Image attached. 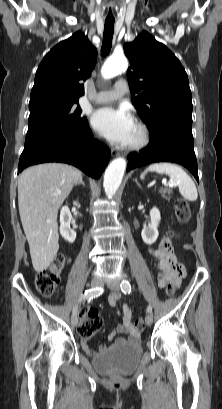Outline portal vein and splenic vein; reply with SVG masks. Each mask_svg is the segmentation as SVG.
<instances>
[{
	"mask_svg": "<svg viewBox=\"0 0 222 409\" xmlns=\"http://www.w3.org/2000/svg\"><path fill=\"white\" fill-rule=\"evenodd\" d=\"M163 184H165V185L168 184V185L172 186L171 183H167L166 180H163Z\"/></svg>",
	"mask_w": 222,
	"mask_h": 409,
	"instance_id": "obj_1",
	"label": "portal vein and splenic vein"
}]
</instances>
